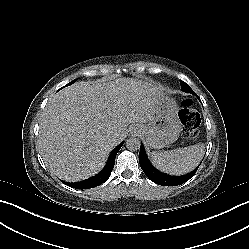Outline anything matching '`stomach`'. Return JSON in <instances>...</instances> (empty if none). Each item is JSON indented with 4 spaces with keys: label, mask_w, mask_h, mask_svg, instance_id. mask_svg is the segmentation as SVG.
<instances>
[{
    "label": "stomach",
    "mask_w": 249,
    "mask_h": 249,
    "mask_svg": "<svg viewBox=\"0 0 249 249\" xmlns=\"http://www.w3.org/2000/svg\"><path fill=\"white\" fill-rule=\"evenodd\" d=\"M154 102L155 113L149 124L143 127L142 138L148 147L161 149L176 140L181 125L175 101L170 96L158 93Z\"/></svg>",
    "instance_id": "1"
}]
</instances>
